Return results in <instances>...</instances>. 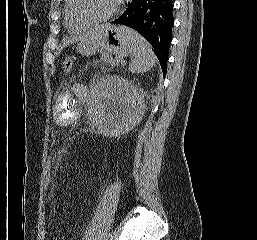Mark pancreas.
<instances>
[{
	"instance_id": "pancreas-1",
	"label": "pancreas",
	"mask_w": 257,
	"mask_h": 240,
	"mask_svg": "<svg viewBox=\"0 0 257 240\" xmlns=\"http://www.w3.org/2000/svg\"><path fill=\"white\" fill-rule=\"evenodd\" d=\"M101 61L104 64H108V65H111V66H114V65L118 64L117 58L113 59L112 56L107 52L102 53Z\"/></svg>"
}]
</instances>
